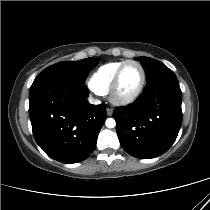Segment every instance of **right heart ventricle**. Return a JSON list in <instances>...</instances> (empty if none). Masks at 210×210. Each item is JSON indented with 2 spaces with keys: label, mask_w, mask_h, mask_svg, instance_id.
Instances as JSON below:
<instances>
[{
  "label": "right heart ventricle",
  "mask_w": 210,
  "mask_h": 210,
  "mask_svg": "<svg viewBox=\"0 0 210 210\" xmlns=\"http://www.w3.org/2000/svg\"><path fill=\"white\" fill-rule=\"evenodd\" d=\"M123 62L124 60L112 61L100 66L89 79L90 88L98 94H107L114 74Z\"/></svg>",
  "instance_id": "e07e8e85"
}]
</instances>
